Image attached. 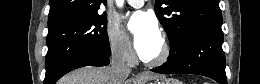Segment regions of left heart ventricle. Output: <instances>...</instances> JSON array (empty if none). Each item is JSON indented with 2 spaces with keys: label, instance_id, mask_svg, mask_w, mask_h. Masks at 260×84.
Instances as JSON below:
<instances>
[{
  "label": "left heart ventricle",
  "instance_id": "1",
  "mask_svg": "<svg viewBox=\"0 0 260 84\" xmlns=\"http://www.w3.org/2000/svg\"><path fill=\"white\" fill-rule=\"evenodd\" d=\"M160 48H161V44L159 45V47H158V49L156 50V52H155L152 56L147 57V58H154V57H156V56L158 55L159 51H160Z\"/></svg>",
  "mask_w": 260,
  "mask_h": 84
}]
</instances>
